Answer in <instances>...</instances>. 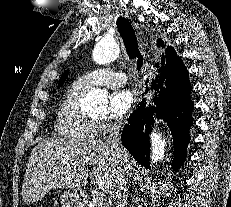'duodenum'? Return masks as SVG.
Segmentation results:
<instances>
[{
	"label": "duodenum",
	"mask_w": 231,
	"mask_h": 207,
	"mask_svg": "<svg viewBox=\"0 0 231 207\" xmlns=\"http://www.w3.org/2000/svg\"><path fill=\"white\" fill-rule=\"evenodd\" d=\"M77 197L83 204L87 203L89 199V196L86 193H78Z\"/></svg>",
	"instance_id": "410a0bca"
}]
</instances>
